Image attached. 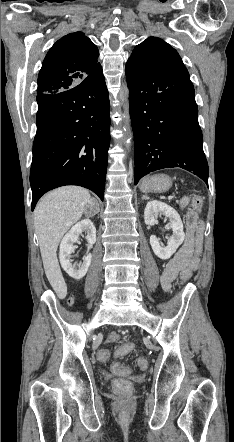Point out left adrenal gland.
<instances>
[{"label":"left adrenal gland","instance_id":"left-adrenal-gland-1","mask_svg":"<svg viewBox=\"0 0 234 442\" xmlns=\"http://www.w3.org/2000/svg\"><path fill=\"white\" fill-rule=\"evenodd\" d=\"M147 199H149L148 196H146V195H143V196H142V200H147Z\"/></svg>","mask_w":234,"mask_h":442}]
</instances>
